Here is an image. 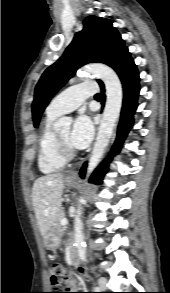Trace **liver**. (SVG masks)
Segmentation results:
<instances>
[{
    "instance_id": "obj_1",
    "label": "liver",
    "mask_w": 170,
    "mask_h": 293,
    "mask_svg": "<svg viewBox=\"0 0 170 293\" xmlns=\"http://www.w3.org/2000/svg\"><path fill=\"white\" fill-rule=\"evenodd\" d=\"M64 189V174L54 173L35 180L32 187V201L41 235L50 230L61 210V196Z\"/></svg>"
}]
</instances>
